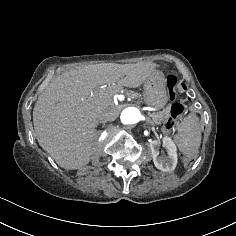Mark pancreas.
<instances>
[{
  "label": "pancreas",
  "instance_id": "cf45deb5",
  "mask_svg": "<svg viewBox=\"0 0 236 236\" xmlns=\"http://www.w3.org/2000/svg\"><path fill=\"white\" fill-rule=\"evenodd\" d=\"M126 95L130 98H137L138 94L137 93H133L132 91L130 92H126ZM152 119L154 122H159V121H163L164 120V115L163 112H159V113H154L152 114Z\"/></svg>",
  "mask_w": 236,
  "mask_h": 236
}]
</instances>
